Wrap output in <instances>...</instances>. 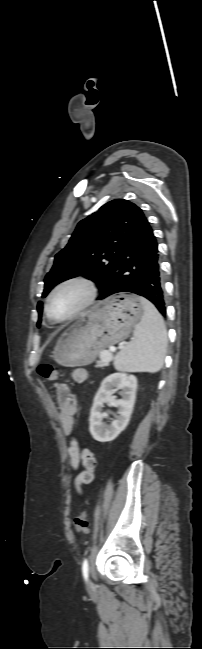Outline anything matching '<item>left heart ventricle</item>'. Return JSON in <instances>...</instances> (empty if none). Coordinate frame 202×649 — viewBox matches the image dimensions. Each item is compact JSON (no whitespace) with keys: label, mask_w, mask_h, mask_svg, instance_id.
Masks as SVG:
<instances>
[{"label":"left heart ventricle","mask_w":202,"mask_h":649,"mask_svg":"<svg viewBox=\"0 0 202 649\" xmlns=\"http://www.w3.org/2000/svg\"><path fill=\"white\" fill-rule=\"evenodd\" d=\"M86 290L81 285H69L59 290L49 303L51 314L55 318L70 315L85 299Z\"/></svg>","instance_id":"obj_1"}]
</instances>
